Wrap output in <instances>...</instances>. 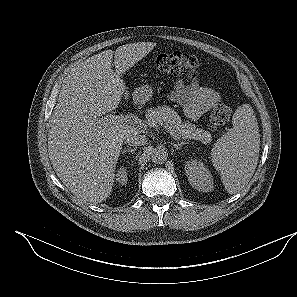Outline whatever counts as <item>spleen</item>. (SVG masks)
Instances as JSON below:
<instances>
[{"mask_svg":"<svg viewBox=\"0 0 297 297\" xmlns=\"http://www.w3.org/2000/svg\"><path fill=\"white\" fill-rule=\"evenodd\" d=\"M233 128L217 140L211 151L213 166L229 194L240 192L252 178L260 151V134L256 116L249 104L237 108Z\"/></svg>","mask_w":297,"mask_h":297,"instance_id":"obj_1","label":"spleen"}]
</instances>
